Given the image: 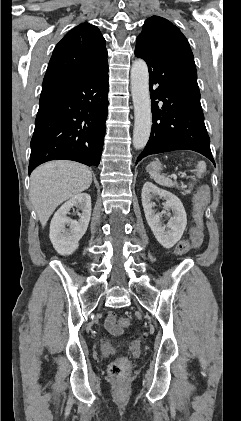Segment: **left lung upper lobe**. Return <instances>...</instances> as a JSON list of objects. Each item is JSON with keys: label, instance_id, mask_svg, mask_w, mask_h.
<instances>
[{"label": "left lung upper lobe", "instance_id": "left-lung-upper-lobe-1", "mask_svg": "<svg viewBox=\"0 0 241 421\" xmlns=\"http://www.w3.org/2000/svg\"><path fill=\"white\" fill-rule=\"evenodd\" d=\"M137 39L159 49L183 52L193 57L186 37L170 21L159 16H152L145 21Z\"/></svg>", "mask_w": 241, "mask_h": 421}]
</instances>
